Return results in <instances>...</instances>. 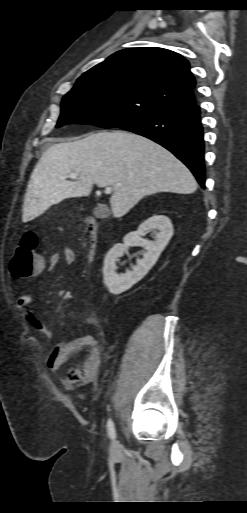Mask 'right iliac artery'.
<instances>
[{
    "label": "right iliac artery",
    "instance_id": "1",
    "mask_svg": "<svg viewBox=\"0 0 247 513\" xmlns=\"http://www.w3.org/2000/svg\"><path fill=\"white\" fill-rule=\"evenodd\" d=\"M107 431H108L109 438L114 439L115 436H116L115 426H114V423H113V421L111 419H109L108 422H107Z\"/></svg>",
    "mask_w": 247,
    "mask_h": 513
}]
</instances>
